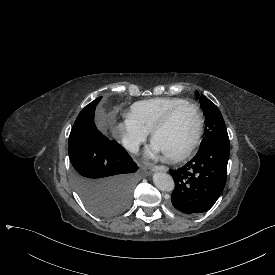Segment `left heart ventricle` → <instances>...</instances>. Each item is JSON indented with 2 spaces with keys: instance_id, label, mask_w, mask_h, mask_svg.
Segmentation results:
<instances>
[{
  "instance_id": "left-heart-ventricle-1",
  "label": "left heart ventricle",
  "mask_w": 275,
  "mask_h": 275,
  "mask_svg": "<svg viewBox=\"0 0 275 275\" xmlns=\"http://www.w3.org/2000/svg\"><path fill=\"white\" fill-rule=\"evenodd\" d=\"M195 123L194 111L190 107H184L173 116L169 126L154 137L152 144L163 154H173L192 138Z\"/></svg>"
}]
</instances>
